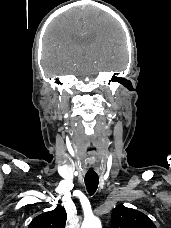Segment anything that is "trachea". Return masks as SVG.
Returning <instances> with one entry per match:
<instances>
[{
	"mask_svg": "<svg viewBox=\"0 0 171 228\" xmlns=\"http://www.w3.org/2000/svg\"><path fill=\"white\" fill-rule=\"evenodd\" d=\"M98 184H99V177L97 175L95 176H90V175H86L85 176V185H86V189L87 192L89 193V195H93L97 188H98Z\"/></svg>",
	"mask_w": 171,
	"mask_h": 228,
	"instance_id": "3493384b",
	"label": "trachea"
}]
</instances>
